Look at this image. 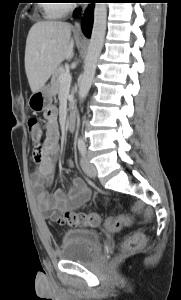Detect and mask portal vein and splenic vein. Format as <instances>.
Wrapping results in <instances>:
<instances>
[{"instance_id":"1","label":"portal vein and splenic vein","mask_w":181,"mask_h":300,"mask_svg":"<svg viewBox=\"0 0 181 300\" xmlns=\"http://www.w3.org/2000/svg\"><path fill=\"white\" fill-rule=\"evenodd\" d=\"M60 83L62 86H69L71 84L72 76L69 72L60 75Z\"/></svg>"}]
</instances>
